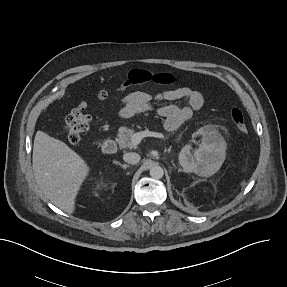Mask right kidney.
<instances>
[{
    "label": "right kidney",
    "instance_id": "1",
    "mask_svg": "<svg viewBox=\"0 0 287 287\" xmlns=\"http://www.w3.org/2000/svg\"><path fill=\"white\" fill-rule=\"evenodd\" d=\"M104 186H106V185L103 184V183H100V184H98V185L96 186V189H100L101 187H104Z\"/></svg>",
    "mask_w": 287,
    "mask_h": 287
}]
</instances>
